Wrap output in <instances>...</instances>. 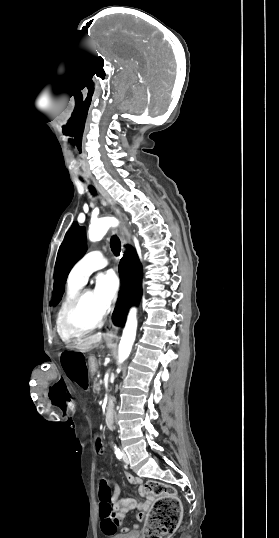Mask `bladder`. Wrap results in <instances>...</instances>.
Instances as JSON below:
<instances>
[{
    "mask_svg": "<svg viewBox=\"0 0 279 538\" xmlns=\"http://www.w3.org/2000/svg\"><path fill=\"white\" fill-rule=\"evenodd\" d=\"M115 538H139V534L138 532H116Z\"/></svg>",
    "mask_w": 279,
    "mask_h": 538,
    "instance_id": "31cf9c89",
    "label": "bladder"
}]
</instances>
